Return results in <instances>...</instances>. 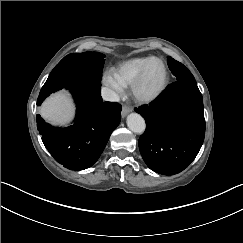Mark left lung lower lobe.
Masks as SVG:
<instances>
[{
	"label": "left lung lower lobe",
	"mask_w": 243,
	"mask_h": 243,
	"mask_svg": "<svg viewBox=\"0 0 243 243\" xmlns=\"http://www.w3.org/2000/svg\"><path fill=\"white\" fill-rule=\"evenodd\" d=\"M135 111L147 125L138 142L147 166L163 175L187 168L205 136L203 98L196 81H175L153 102Z\"/></svg>",
	"instance_id": "left-lung-lower-lobe-1"
}]
</instances>
